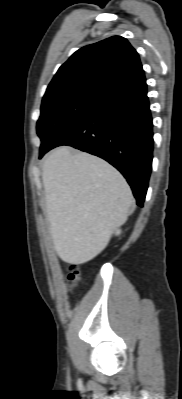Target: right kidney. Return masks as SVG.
I'll return each instance as SVG.
<instances>
[{"label": "right kidney", "instance_id": "ca27d5eb", "mask_svg": "<svg viewBox=\"0 0 182 399\" xmlns=\"http://www.w3.org/2000/svg\"><path fill=\"white\" fill-rule=\"evenodd\" d=\"M120 232H121L120 230H117V231H116V235H119V234H120Z\"/></svg>", "mask_w": 182, "mask_h": 399}]
</instances>
